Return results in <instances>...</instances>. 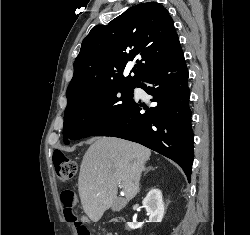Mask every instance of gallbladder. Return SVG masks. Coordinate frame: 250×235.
Returning <instances> with one entry per match:
<instances>
[{
    "label": "gallbladder",
    "mask_w": 250,
    "mask_h": 235,
    "mask_svg": "<svg viewBox=\"0 0 250 235\" xmlns=\"http://www.w3.org/2000/svg\"><path fill=\"white\" fill-rule=\"evenodd\" d=\"M122 207H123V206L121 205L120 200H118V201H115V202L113 203V205H112L111 208H112L113 211H119Z\"/></svg>",
    "instance_id": "obj_1"
}]
</instances>
